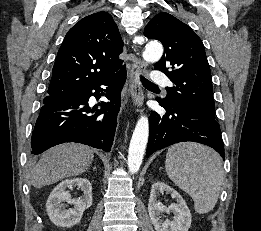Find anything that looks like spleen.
Segmentation results:
<instances>
[{
    "mask_svg": "<svg viewBox=\"0 0 261 231\" xmlns=\"http://www.w3.org/2000/svg\"><path fill=\"white\" fill-rule=\"evenodd\" d=\"M165 168L168 177L192 197L196 212L204 214L214 208L224 170L213 149L191 142L173 145L167 151Z\"/></svg>",
    "mask_w": 261,
    "mask_h": 231,
    "instance_id": "spleen-1",
    "label": "spleen"
}]
</instances>
